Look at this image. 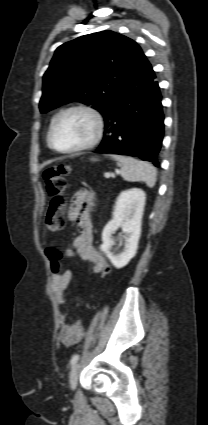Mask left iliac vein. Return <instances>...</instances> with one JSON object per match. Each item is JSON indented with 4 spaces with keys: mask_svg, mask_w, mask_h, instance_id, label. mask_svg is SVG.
Masks as SVG:
<instances>
[{
    "mask_svg": "<svg viewBox=\"0 0 208 425\" xmlns=\"http://www.w3.org/2000/svg\"><path fill=\"white\" fill-rule=\"evenodd\" d=\"M78 377H79V364L75 363L71 368V372H70V376H69L70 387L73 390L77 386Z\"/></svg>",
    "mask_w": 208,
    "mask_h": 425,
    "instance_id": "obj_1",
    "label": "left iliac vein"
}]
</instances>
